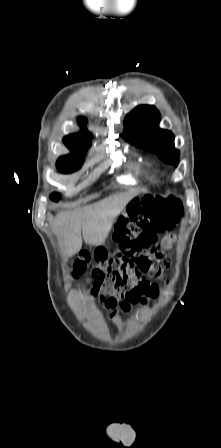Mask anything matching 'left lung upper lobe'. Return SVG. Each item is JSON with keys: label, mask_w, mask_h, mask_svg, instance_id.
I'll return each instance as SVG.
<instances>
[{"label": "left lung upper lobe", "mask_w": 221, "mask_h": 448, "mask_svg": "<svg viewBox=\"0 0 221 448\" xmlns=\"http://www.w3.org/2000/svg\"><path fill=\"white\" fill-rule=\"evenodd\" d=\"M160 113L154 106L140 105L125 117L123 137L140 148L156 153L165 163L178 165L179 151L171 132L159 128Z\"/></svg>", "instance_id": "obj_1"}]
</instances>
